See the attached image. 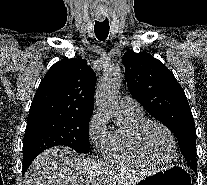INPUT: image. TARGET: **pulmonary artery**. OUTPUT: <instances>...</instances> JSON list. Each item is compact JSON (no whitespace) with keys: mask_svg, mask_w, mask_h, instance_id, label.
I'll list each match as a JSON object with an SVG mask.
<instances>
[{"mask_svg":"<svg viewBox=\"0 0 207 185\" xmlns=\"http://www.w3.org/2000/svg\"><path fill=\"white\" fill-rule=\"evenodd\" d=\"M120 108L122 111L131 112V113H140L141 106L140 104L130 97H121L120 98Z\"/></svg>","mask_w":207,"mask_h":185,"instance_id":"pulmonary-artery-1","label":"pulmonary artery"}]
</instances>
